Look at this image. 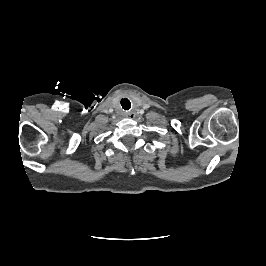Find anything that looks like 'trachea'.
Here are the masks:
<instances>
[{
  "instance_id": "3493384b",
  "label": "trachea",
  "mask_w": 266,
  "mask_h": 266,
  "mask_svg": "<svg viewBox=\"0 0 266 266\" xmlns=\"http://www.w3.org/2000/svg\"><path fill=\"white\" fill-rule=\"evenodd\" d=\"M127 103H128V101H127ZM129 108H130V102H129V104H128V108H127V109L125 108V109L128 110Z\"/></svg>"
}]
</instances>
